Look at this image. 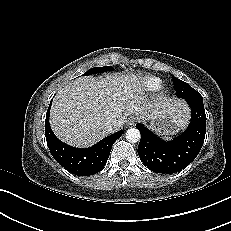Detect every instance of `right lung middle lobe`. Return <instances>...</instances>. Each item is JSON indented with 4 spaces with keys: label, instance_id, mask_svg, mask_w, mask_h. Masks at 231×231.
<instances>
[{
    "label": "right lung middle lobe",
    "instance_id": "obj_1",
    "mask_svg": "<svg viewBox=\"0 0 231 231\" xmlns=\"http://www.w3.org/2000/svg\"><path fill=\"white\" fill-rule=\"evenodd\" d=\"M113 67L111 66H105V67H95V68H91L90 70H88L86 73L83 74V76H87V75H91V74H95V73H101V72H105V71H113Z\"/></svg>",
    "mask_w": 231,
    "mask_h": 231
}]
</instances>
